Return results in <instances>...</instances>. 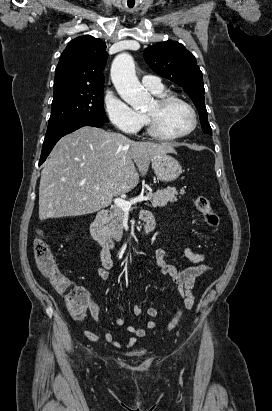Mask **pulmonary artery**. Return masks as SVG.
Segmentation results:
<instances>
[{"label":"pulmonary artery","mask_w":272,"mask_h":411,"mask_svg":"<svg viewBox=\"0 0 272 411\" xmlns=\"http://www.w3.org/2000/svg\"><path fill=\"white\" fill-rule=\"evenodd\" d=\"M143 85L152 91H159L163 89L160 78L157 76L146 75L142 78Z\"/></svg>","instance_id":"1"}]
</instances>
